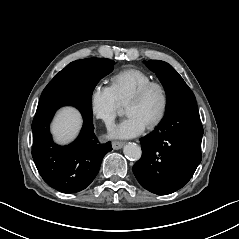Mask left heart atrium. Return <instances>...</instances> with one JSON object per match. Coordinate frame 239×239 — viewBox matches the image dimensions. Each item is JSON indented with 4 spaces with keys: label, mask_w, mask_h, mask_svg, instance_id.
<instances>
[{
    "label": "left heart atrium",
    "mask_w": 239,
    "mask_h": 239,
    "mask_svg": "<svg viewBox=\"0 0 239 239\" xmlns=\"http://www.w3.org/2000/svg\"><path fill=\"white\" fill-rule=\"evenodd\" d=\"M146 128L147 125L141 118L131 114L112 129V135L119 138H131L141 134Z\"/></svg>",
    "instance_id": "39dd6f15"
}]
</instances>
